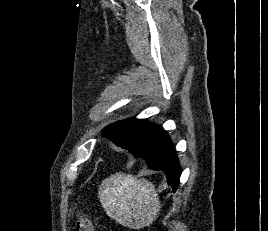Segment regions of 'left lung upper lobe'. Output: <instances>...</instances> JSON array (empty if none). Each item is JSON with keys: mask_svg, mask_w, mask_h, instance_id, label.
<instances>
[{"mask_svg": "<svg viewBox=\"0 0 268 231\" xmlns=\"http://www.w3.org/2000/svg\"><path fill=\"white\" fill-rule=\"evenodd\" d=\"M160 126L143 119L129 118L109 125L102 130L104 137L112 139L118 146L128 149L151 139Z\"/></svg>", "mask_w": 268, "mask_h": 231, "instance_id": "1", "label": "left lung upper lobe"}]
</instances>
